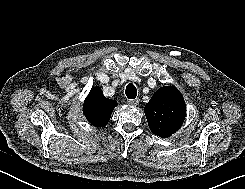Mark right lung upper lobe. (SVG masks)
I'll list each match as a JSON object with an SVG mask.
<instances>
[{"label": "right lung upper lobe", "instance_id": "1", "mask_svg": "<svg viewBox=\"0 0 245 189\" xmlns=\"http://www.w3.org/2000/svg\"><path fill=\"white\" fill-rule=\"evenodd\" d=\"M116 106L117 102L107 99L100 87H94L85 99L83 112L92 125L103 127L110 120L112 111Z\"/></svg>", "mask_w": 245, "mask_h": 189}]
</instances>
